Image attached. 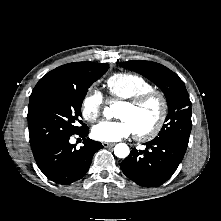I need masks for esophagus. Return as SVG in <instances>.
I'll use <instances>...</instances> for the list:
<instances>
[{"label":"esophagus","mask_w":221,"mask_h":221,"mask_svg":"<svg viewBox=\"0 0 221 221\" xmlns=\"http://www.w3.org/2000/svg\"><path fill=\"white\" fill-rule=\"evenodd\" d=\"M102 146H103L104 148H107V147L114 146V143H110V142H102Z\"/></svg>","instance_id":"esophagus-1"}]
</instances>
